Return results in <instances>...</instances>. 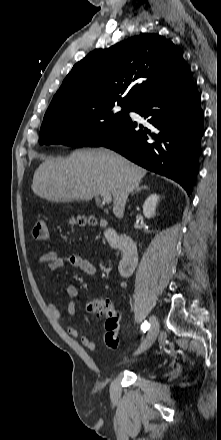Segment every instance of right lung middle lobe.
<instances>
[{
	"label": "right lung middle lobe",
	"instance_id": "dd1d6c3e",
	"mask_svg": "<svg viewBox=\"0 0 221 440\" xmlns=\"http://www.w3.org/2000/svg\"><path fill=\"white\" fill-rule=\"evenodd\" d=\"M116 105L124 109L116 110ZM133 106L108 103L95 107L72 105L47 111L41 126L40 144L98 147L129 119Z\"/></svg>",
	"mask_w": 221,
	"mask_h": 440
}]
</instances>
